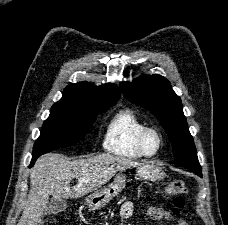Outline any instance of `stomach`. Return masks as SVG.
Here are the masks:
<instances>
[{"mask_svg": "<svg viewBox=\"0 0 228 225\" xmlns=\"http://www.w3.org/2000/svg\"><path fill=\"white\" fill-rule=\"evenodd\" d=\"M136 173L138 177H142V179H152V181L162 179L159 169L154 167V165H138ZM125 185L126 177L123 175V171H119L111 185L104 187V189L94 191L92 195L86 197L85 201L90 209L91 207H103V205L109 203L111 199L117 197V195L123 191Z\"/></svg>", "mask_w": 228, "mask_h": 225, "instance_id": "0dacf381", "label": "stomach"}]
</instances>
